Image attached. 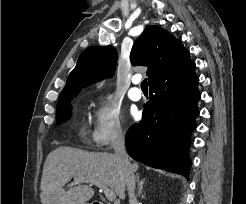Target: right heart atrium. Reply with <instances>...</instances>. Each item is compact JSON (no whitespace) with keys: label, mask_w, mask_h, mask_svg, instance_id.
Listing matches in <instances>:
<instances>
[{"label":"right heart atrium","mask_w":246,"mask_h":204,"mask_svg":"<svg viewBox=\"0 0 246 204\" xmlns=\"http://www.w3.org/2000/svg\"><path fill=\"white\" fill-rule=\"evenodd\" d=\"M125 135L123 116L110 96H99L92 111L91 139L99 148L109 147Z\"/></svg>","instance_id":"right-heart-atrium-1"}]
</instances>
